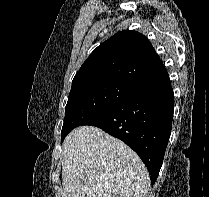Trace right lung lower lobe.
Wrapping results in <instances>:
<instances>
[{"label":"right lung lower lobe","instance_id":"1","mask_svg":"<svg viewBox=\"0 0 209 197\" xmlns=\"http://www.w3.org/2000/svg\"><path fill=\"white\" fill-rule=\"evenodd\" d=\"M174 94L169 76L137 90L82 125L101 128L131 147L149 170L159 174L172 128Z\"/></svg>","mask_w":209,"mask_h":197}]
</instances>
